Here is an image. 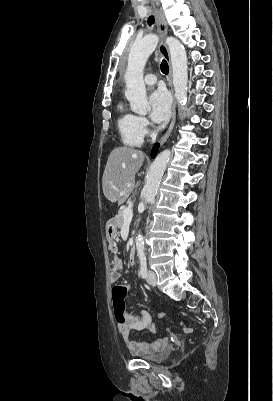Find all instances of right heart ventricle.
<instances>
[{"label": "right heart ventricle", "instance_id": "obj_1", "mask_svg": "<svg viewBox=\"0 0 273 401\" xmlns=\"http://www.w3.org/2000/svg\"><path fill=\"white\" fill-rule=\"evenodd\" d=\"M117 128L122 141L127 146H140L143 143V135L139 131L137 116L126 109L123 101L116 106Z\"/></svg>", "mask_w": 273, "mask_h": 401}]
</instances>
